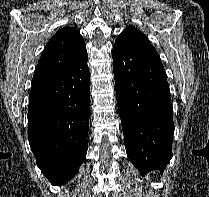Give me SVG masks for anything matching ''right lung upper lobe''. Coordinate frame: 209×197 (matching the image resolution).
<instances>
[{
  "label": "right lung upper lobe",
  "instance_id": "1",
  "mask_svg": "<svg viewBox=\"0 0 209 197\" xmlns=\"http://www.w3.org/2000/svg\"><path fill=\"white\" fill-rule=\"evenodd\" d=\"M86 50L83 37L77 29L64 27L46 44L35 70L32 82L51 76L74 63Z\"/></svg>",
  "mask_w": 209,
  "mask_h": 197
}]
</instances>
